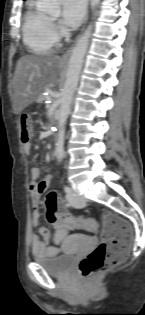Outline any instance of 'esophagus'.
Segmentation results:
<instances>
[{
  "mask_svg": "<svg viewBox=\"0 0 145 315\" xmlns=\"http://www.w3.org/2000/svg\"><path fill=\"white\" fill-rule=\"evenodd\" d=\"M88 16H89V10L87 9V14H86V17H85V23H84V26L82 28V31L84 30L85 28V25L87 23V20H88ZM72 50H73V46H71L61 57V60L62 61H68V59L70 58L71 56V53H72Z\"/></svg>",
  "mask_w": 145,
  "mask_h": 315,
  "instance_id": "34e87169",
  "label": "esophagus"
}]
</instances>
